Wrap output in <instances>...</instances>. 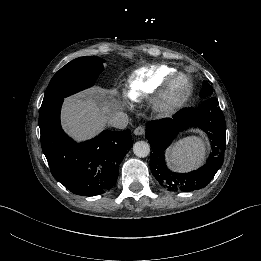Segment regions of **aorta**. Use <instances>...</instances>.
<instances>
[{"instance_id": "aorta-1", "label": "aorta", "mask_w": 261, "mask_h": 261, "mask_svg": "<svg viewBox=\"0 0 261 261\" xmlns=\"http://www.w3.org/2000/svg\"><path fill=\"white\" fill-rule=\"evenodd\" d=\"M133 153L140 158L147 157L150 153V146L145 141H137L133 145Z\"/></svg>"}]
</instances>
